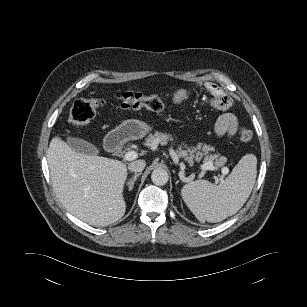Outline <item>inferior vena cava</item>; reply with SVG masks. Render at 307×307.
Returning a JSON list of instances; mask_svg holds the SVG:
<instances>
[{
  "instance_id": "obj_1",
  "label": "inferior vena cava",
  "mask_w": 307,
  "mask_h": 307,
  "mask_svg": "<svg viewBox=\"0 0 307 307\" xmlns=\"http://www.w3.org/2000/svg\"><path fill=\"white\" fill-rule=\"evenodd\" d=\"M145 166H146V162L144 160H136V161L129 163L128 169L131 172H141L144 170Z\"/></svg>"
}]
</instances>
